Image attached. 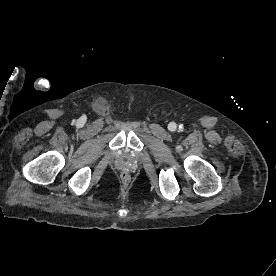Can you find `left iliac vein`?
Masks as SVG:
<instances>
[{"label": "left iliac vein", "mask_w": 276, "mask_h": 276, "mask_svg": "<svg viewBox=\"0 0 276 276\" xmlns=\"http://www.w3.org/2000/svg\"><path fill=\"white\" fill-rule=\"evenodd\" d=\"M170 129H171L172 131H174V130L176 129V124H175V123H171V124H170Z\"/></svg>", "instance_id": "1"}]
</instances>
